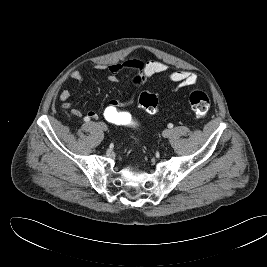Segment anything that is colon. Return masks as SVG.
<instances>
[{
	"instance_id": "colon-1",
	"label": "colon",
	"mask_w": 267,
	"mask_h": 267,
	"mask_svg": "<svg viewBox=\"0 0 267 267\" xmlns=\"http://www.w3.org/2000/svg\"><path fill=\"white\" fill-rule=\"evenodd\" d=\"M188 102L195 115L199 118L205 117L209 112L210 100L202 91L191 92ZM138 104L149 114H155L158 111V100L156 96L150 92L143 91L139 95ZM102 117L108 123L116 126L132 127L135 125L128 112L111 102L103 108Z\"/></svg>"
}]
</instances>
